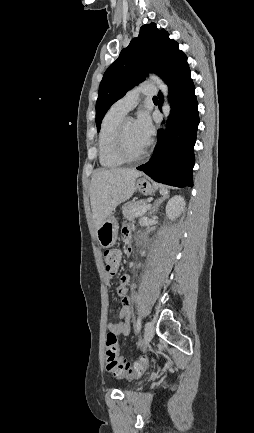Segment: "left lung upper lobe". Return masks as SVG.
I'll return each mask as SVG.
<instances>
[{
    "instance_id": "left-lung-upper-lobe-1",
    "label": "left lung upper lobe",
    "mask_w": 254,
    "mask_h": 433,
    "mask_svg": "<svg viewBox=\"0 0 254 433\" xmlns=\"http://www.w3.org/2000/svg\"><path fill=\"white\" fill-rule=\"evenodd\" d=\"M184 53L178 43L169 38L164 29L155 23L143 25L137 38L121 51L118 59L104 73L96 102V125L98 131L110 106L126 92L143 81L147 73L165 77Z\"/></svg>"
}]
</instances>
